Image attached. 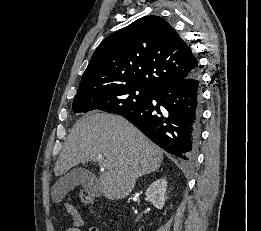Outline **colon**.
<instances>
[{
  "instance_id": "5ec220e1",
  "label": "colon",
  "mask_w": 261,
  "mask_h": 231,
  "mask_svg": "<svg viewBox=\"0 0 261 231\" xmlns=\"http://www.w3.org/2000/svg\"><path fill=\"white\" fill-rule=\"evenodd\" d=\"M82 200L87 203V204H92L94 202V200L91 197L88 196H83Z\"/></svg>"
}]
</instances>
